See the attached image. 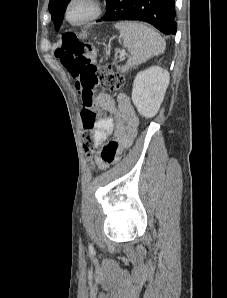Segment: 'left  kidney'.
Wrapping results in <instances>:
<instances>
[{
	"instance_id": "1",
	"label": "left kidney",
	"mask_w": 227,
	"mask_h": 298,
	"mask_svg": "<svg viewBox=\"0 0 227 298\" xmlns=\"http://www.w3.org/2000/svg\"><path fill=\"white\" fill-rule=\"evenodd\" d=\"M169 80L168 71L159 66L150 67L137 74L133 83L132 101L141 116L151 118L157 114Z\"/></svg>"
}]
</instances>
